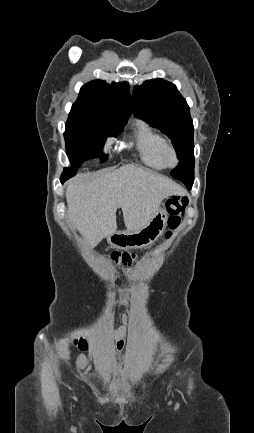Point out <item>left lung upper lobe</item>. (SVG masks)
<instances>
[{
	"mask_svg": "<svg viewBox=\"0 0 254 433\" xmlns=\"http://www.w3.org/2000/svg\"><path fill=\"white\" fill-rule=\"evenodd\" d=\"M132 109L137 118L160 129L172 141L180 160L171 175L185 185L194 181V127L186 100L174 84L152 79L136 86Z\"/></svg>",
	"mask_w": 254,
	"mask_h": 433,
	"instance_id": "left-lung-upper-lobe-1",
	"label": "left lung upper lobe"
}]
</instances>
